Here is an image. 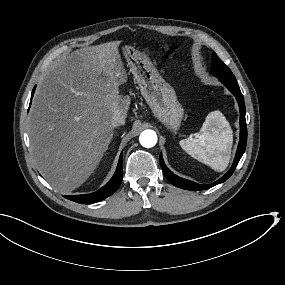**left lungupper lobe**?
I'll use <instances>...</instances> for the list:
<instances>
[{
	"mask_svg": "<svg viewBox=\"0 0 285 285\" xmlns=\"http://www.w3.org/2000/svg\"><path fill=\"white\" fill-rule=\"evenodd\" d=\"M211 73L220 80L235 79L231 70L220 60L216 53L212 55Z\"/></svg>",
	"mask_w": 285,
	"mask_h": 285,
	"instance_id": "left-lung-upper-lobe-1",
	"label": "left lung upper lobe"
}]
</instances>
